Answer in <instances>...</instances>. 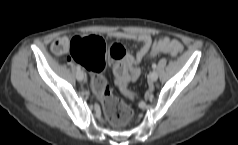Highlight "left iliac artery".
<instances>
[{
    "instance_id": "left-iliac-artery-1",
    "label": "left iliac artery",
    "mask_w": 238,
    "mask_h": 145,
    "mask_svg": "<svg viewBox=\"0 0 238 145\" xmlns=\"http://www.w3.org/2000/svg\"><path fill=\"white\" fill-rule=\"evenodd\" d=\"M156 67H157L156 64H152L153 69H156Z\"/></svg>"
}]
</instances>
